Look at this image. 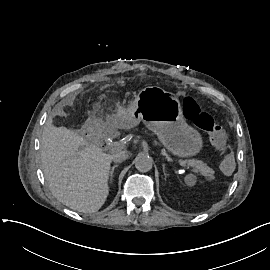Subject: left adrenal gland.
<instances>
[{
  "label": "left adrenal gland",
  "instance_id": "left-adrenal-gland-1",
  "mask_svg": "<svg viewBox=\"0 0 270 270\" xmlns=\"http://www.w3.org/2000/svg\"><path fill=\"white\" fill-rule=\"evenodd\" d=\"M165 171H166V170H165V165H163V173H164L165 181H167V178H168V177H167Z\"/></svg>",
  "mask_w": 270,
  "mask_h": 270
}]
</instances>
